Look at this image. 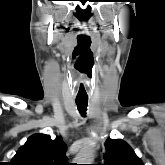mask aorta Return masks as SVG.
Listing matches in <instances>:
<instances>
[{"instance_id": "762f6f07", "label": "aorta", "mask_w": 165, "mask_h": 165, "mask_svg": "<svg viewBox=\"0 0 165 165\" xmlns=\"http://www.w3.org/2000/svg\"><path fill=\"white\" fill-rule=\"evenodd\" d=\"M93 160H94V152L90 148L82 149L74 158V161L77 164H92Z\"/></svg>"}]
</instances>
